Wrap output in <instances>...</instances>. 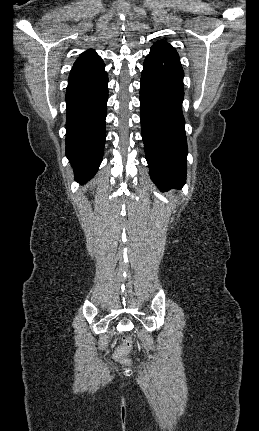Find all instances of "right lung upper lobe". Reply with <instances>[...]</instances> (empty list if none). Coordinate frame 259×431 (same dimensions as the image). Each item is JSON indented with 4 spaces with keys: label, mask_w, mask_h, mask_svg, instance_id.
Listing matches in <instances>:
<instances>
[{
    "label": "right lung upper lobe",
    "mask_w": 259,
    "mask_h": 431,
    "mask_svg": "<svg viewBox=\"0 0 259 431\" xmlns=\"http://www.w3.org/2000/svg\"><path fill=\"white\" fill-rule=\"evenodd\" d=\"M102 62L103 61L100 56L93 49H90L79 56V58L74 63L71 72L90 68Z\"/></svg>",
    "instance_id": "obj_1"
}]
</instances>
